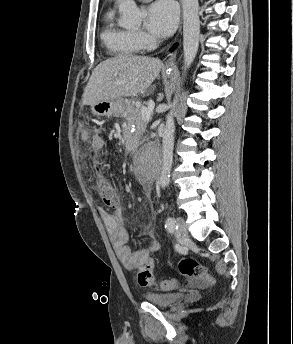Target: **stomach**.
<instances>
[{"label": "stomach", "instance_id": "stomach-1", "mask_svg": "<svg viewBox=\"0 0 293 344\" xmlns=\"http://www.w3.org/2000/svg\"><path fill=\"white\" fill-rule=\"evenodd\" d=\"M130 109V104L123 98L101 101L91 106L95 116L125 117Z\"/></svg>", "mask_w": 293, "mask_h": 344}]
</instances>
